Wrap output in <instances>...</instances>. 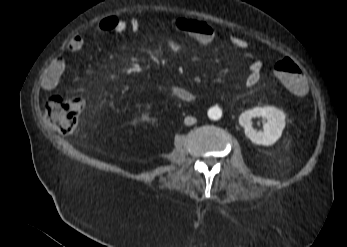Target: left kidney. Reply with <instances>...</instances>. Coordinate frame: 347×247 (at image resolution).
Here are the masks:
<instances>
[{"mask_svg": "<svg viewBox=\"0 0 347 247\" xmlns=\"http://www.w3.org/2000/svg\"><path fill=\"white\" fill-rule=\"evenodd\" d=\"M262 117L267 120L263 131H256L252 127V118ZM239 124L244 128L245 135L255 144L273 145L282 135L285 128V114L276 107H255L243 112L239 117Z\"/></svg>", "mask_w": 347, "mask_h": 247, "instance_id": "5707ae66", "label": "left kidney"}]
</instances>
